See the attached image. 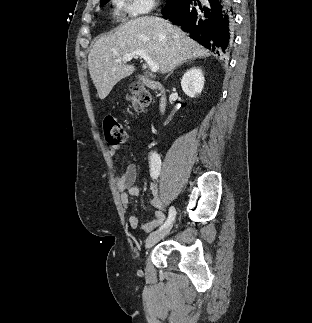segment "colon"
<instances>
[{
  "mask_svg": "<svg viewBox=\"0 0 312 323\" xmlns=\"http://www.w3.org/2000/svg\"><path fill=\"white\" fill-rule=\"evenodd\" d=\"M131 106L135 109L145 107L151 101L149 92L142 85L135 82L132 84V94L128 97ZM104 138L108 145L117 146L123 144L127 138L125 126L113 117H107L103 121Z\"/></svg>",
  "mask_w": 312,
  "mask_h": 323,
  "instance_id": "1",
  "label": "colon"
}]
</instances>
